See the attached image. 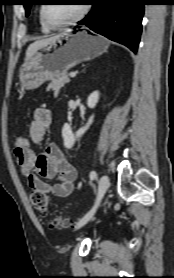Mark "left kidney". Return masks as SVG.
Here are the masks:
<instances>
[{
    "instance_id": "obj_1",
    "label": "left kidney",
    "mask_w": 174,
    "mask_h": 278,
    "mask_svg": "<svg viewBox=\"0 0 174 278\" xmlns=\"http://www.w3.org/2000/svg\"><path fill=\"white\" fill-rule=\"evenodd\" d=\"M99 100V91H94L92 92L88 99H87V105L89 108H95L96 104L98 103ZM94 119V115L90 116L88 119V122L86 125L82 128H80L75 134L72 132L71 126L67 123L64 124L62 128V137L64 141V146L67 149H71L76 140L79 139L90 127Z\"/></svg>"
}]
</instances>
